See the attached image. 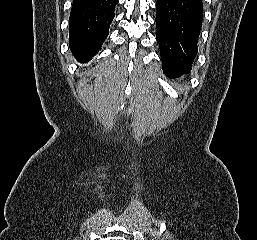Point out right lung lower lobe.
Wrapping results in <instances>:
<instances>
[{
  "label": "right lung lower lobe",
  "instance_id": "1",
  "mask_svg": "<svg viewBox=\"0 0 257 240\" xmlns=\"http://www.w3.org/2000/svg\"><path fill=\"white\" fill-rule=\"evenodd\" d=\"M118 2L73 0L69 18V46L78 61H89L101 49Z\"/></svg>",
  "mask_w": 257,
  "mask_h": 240
}]
</instances>
